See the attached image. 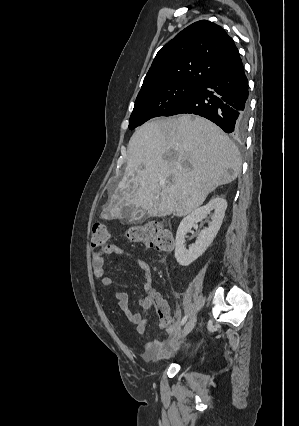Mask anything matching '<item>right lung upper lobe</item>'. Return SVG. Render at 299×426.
Here are the masks:
<instances>
[{
  "label": "right lung upper lobe",
  "mask_w": 299,
  "mask_h": 426,
  "mask_svg": "<svg viewBox=\"0 0 299 426\" xmlns=\"http://www.w3.org/2000/svg\"><path fill=\"white\" fill-rule=\"evenodd\" d=\"M238 58L234 41L221 26L195 22L159 50L138 95L172 83L202 86Z\"/></svg>",
  "instance_id": "1"
}]
</instances>
